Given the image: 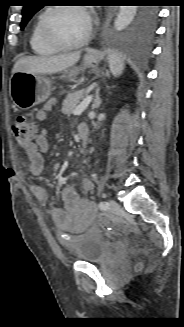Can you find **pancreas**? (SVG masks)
I'll use <instances>...</instances> for the list:
<instances>
[{"label": "pancreas", "mask_w": 184, "mask_h": 327, "mask_svg": "<svg viewBox=\"0 0 184 327\" xmlns=\"http://www.w3.org/2000/svg\"><path fill=\"white\" fill-rule=\"evenodd\" d=\"M84 96L85 94L83 91L69 93L62 103V113L65 115L72 114L74 109L78 107L80 100L83 99Z\"/></svg>", "instance_id": "cf45deb5"}]
</instances>
